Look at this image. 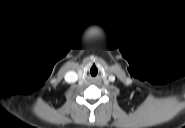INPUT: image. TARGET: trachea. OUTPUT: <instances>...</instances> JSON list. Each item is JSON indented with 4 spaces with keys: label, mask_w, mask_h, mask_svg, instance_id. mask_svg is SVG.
Listing matches in <instances>:
<instances>
[{
    "label": "trachea",
    "mask_w": 185,
    "mask_h": 128,
    "mask_svg": "<svg viewBox=\"0 0 185 128\" xmlns=\"http://www.w3.org/2000/svg\"><path fill=\"white\" fill-rule=\"evenodd\" d=\"M90 75L92 77H96L98 75V68L93 65L91 68H90Z\"/></svg>",
    "instance_id": "3493384b"
}]
</instances>
